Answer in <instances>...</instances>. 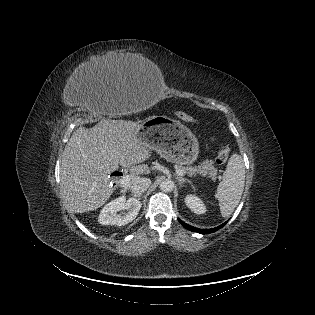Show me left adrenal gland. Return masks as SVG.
Segmentation results:
<instances>
[{
  "label": "left adrenal gland",
  "mask_w": 315,
  "mask_h": 315,
  "mask_svg": "<svg viewBox=\"0 0 315 315\" xmlns=\"http://www.w3.org/2000/svg\"><path fill=\"white\" fill-rule=\"evenodd\" d=\"M177 181L179 182V185H180V186H181V184H182L183 182H188V183L193 187L191 181L188 180V179H185V178H182V177H177Z\"/></svg>",
  "instance_id": "left-adrenal-gland-1"
}]
</instances>
